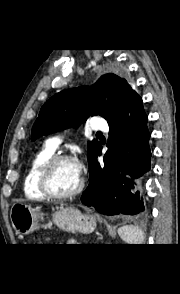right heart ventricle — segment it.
<instances>
[{"mask_svg": "<svg viewBox=\"0 0 180 294\" xmlns=\"http://www.w3.org/2000/svg\"><path fill=\"white\" fill-rule=\"evenodd\" d=\"M54 155L55 150L51 149L48 146H45L32 158L23 183V191L27 197L37 200L46 199V197L39 189L38 175L43 165Z\"/></svg>", "mask_w": 180, "mask_h": 294, "instance_id": "obj_1", "label": "right heart ventricle"}]
</instances>
